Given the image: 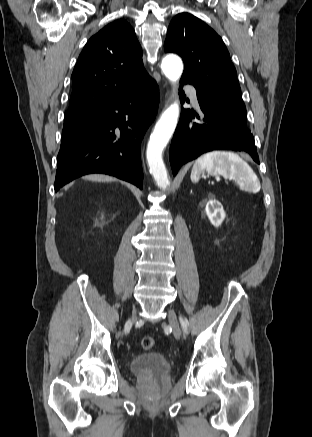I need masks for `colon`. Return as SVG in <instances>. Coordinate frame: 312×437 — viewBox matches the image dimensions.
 Segmentation results:
<instances>
[{"label": "colon", "mask_w": 312, "mask_h": 437, "mask_svg": "<svg viewBox=\"0 0 312 437\" xmlns=\"http://www.w3.org/2000/svg\"><path fill=\"white\" fill-rule=\"evenodd\" d=\"M141 346L144 350H152L155 346V341L152 337L146 336L141 339Z\"/></svg>", "instance_id": "colon-1"}]
</instances>
